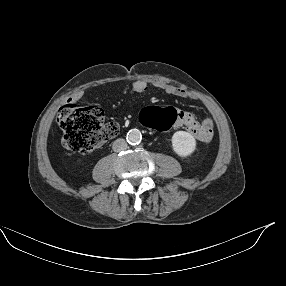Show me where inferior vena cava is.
I'll list each match as a JSON object with an SVG mask.
<instances>
[{
    "label": "inferior vena cava",
    "mask_w": 286,
    "mask_h": 286,
    "mask_svg": "<svg viewBox=\"0 0 286 286\" xmlns=\"http://www.w3.org/2000/svg\"><path fill=\"white\" fill-rule=\"evenodd\" d=\"M112 148L115 152L127 149V142L125 139L119 138L113 142Z\"/></svg>",
    "instance_id": "602c4592"
}]
</instances>
